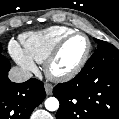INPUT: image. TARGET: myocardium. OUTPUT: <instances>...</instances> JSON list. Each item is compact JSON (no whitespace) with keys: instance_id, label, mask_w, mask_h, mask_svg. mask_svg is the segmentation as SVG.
Masks as SVG:
<instances>
[{"instance_id":"obj_1","label":"myocardium","mask_w":119,"mask_h":119,"mask_svg":"<svg viewBox=\"0 0 119 119\" xmlns=\"http://www.w3.org/2000/svg\"><path fill=\"white\" fill-rule=\"evenodd\" d=\"M74 36H83L86 39L87 50L84 56L74 68L66 72H61V73L54 72L52 69L54 62L58 58L63 46ZM91 52H92V42L90 38L83 32L73 31L67 34L66 36H64L63 38H61L59 42L55 45L53 50L50 52V54L47 56V58L44 61V72L46 76L53 81H68L74 78L75 76H77L81 72V70L84 68V66L88 62Z\"/></svg>"}]
</instances>
